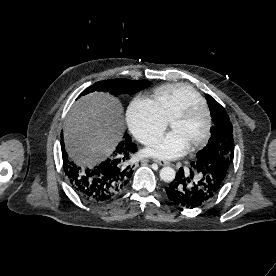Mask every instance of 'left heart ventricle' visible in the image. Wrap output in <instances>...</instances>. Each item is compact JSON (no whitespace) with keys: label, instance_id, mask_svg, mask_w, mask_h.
Here are the masks:
<instances>
[{"label":"left heart ventricle","instance_id":"b2bd125f","mask_svg":"<svg viewBox=\"0 0 276 276\" xmlns=\"http://www.w3.org/2000/svg\"><path fill=\"white\" fill-rule=\"evenodd\" d=\"M170 127L184 138L190 148L203 136L206 127V116L203 112H198L188 120L172 122Z\"/></svg>","mask_w":276,"mask_h":276}]
</instances>
